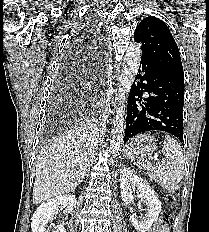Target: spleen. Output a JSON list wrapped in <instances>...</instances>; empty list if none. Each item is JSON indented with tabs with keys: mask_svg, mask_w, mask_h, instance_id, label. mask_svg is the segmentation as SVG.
I'll return each instance as SVG.
<instances>
[{
	"mask_svg": "<svg viewBox=\"0 0 209 232\" xmlns=\"http://www.w3.org/2000/svg\"><path fill=\"white\" fill-rule=\"evenodd\" d=\"M162 152L166 157L164 165L152 166L149 161L143 160L141 167L154 174L163 188L175 192L184 175L185 157L181 146L169 135L165 136Z\"/></svg>",
	"mask_w": 209,
	"mask_h": 232,
	"instance_id": "spleen-1",
	"label": "spleen"
}]
</instances>
